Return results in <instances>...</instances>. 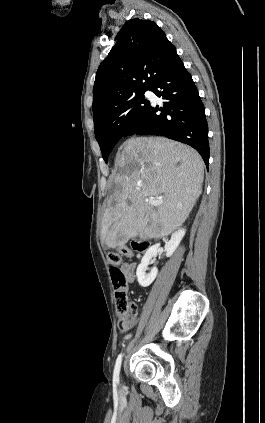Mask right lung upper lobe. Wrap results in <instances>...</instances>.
Instances as JSON below:
<instances>
[{
  "instance_id": "obj_1",
  "label": "right lung upper lobe",
  "mask_w": 265,
  "mask_h": 423,
  "mask_svg": "<svg viewBox=\"0 0 265 423\" xmlns=\"http://www.w3.org/2000/svg\"><path fill=\"white\" fill-rule=\"evenodd\" d=\"M176 55L175 47L155 22L127 21L96 73L94 122L121 101L150 89Z\"/></svg>"
}]
</instances>
